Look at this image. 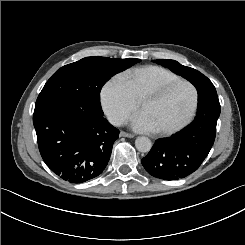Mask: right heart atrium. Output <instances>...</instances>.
I'll return each instance as SVG.
<instances>
[{"label": "right heart atrium", "instance_id": "1", "mask_svg": "<svg viewBox=\"0 0 245 245\" xmlns=\"http://www.w3.org/2000/svg\"><path fill=\"white\" fill-rule=\"evenodd\" d=\"M100 98L105 113L115 125L124 124L136 109V101L117 77L111 78L104 84Z\"/></svg>", "mask_w": 245, "mask_h": 245}]
</instances>
